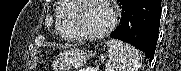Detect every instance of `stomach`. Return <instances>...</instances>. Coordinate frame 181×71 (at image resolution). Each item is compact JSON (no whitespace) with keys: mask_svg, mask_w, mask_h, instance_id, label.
<instances>
[{"mask_svg":"<svg viewBox=\"0 0 181 71\" xmlns=\"http://www.w3.org/2000/svg\"><path fill=\"white\" fill-rule=\"evenodd\" d=\"M92 55L77 49L66 50L57 56L54 65L60 71H70L82 66Z\"/></svg>","mask_w":181,"mask_h":71,"instance_id":"obj_1","label":"stomach"}]
</instances>
